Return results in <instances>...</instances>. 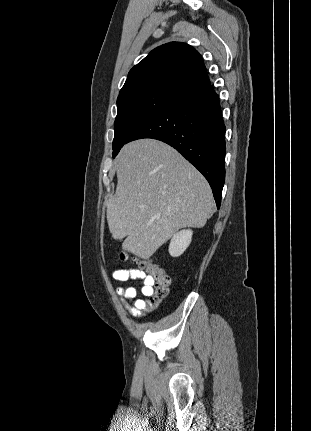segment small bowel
<instances>
[{
	"instance_id": "c3829d8e",
	"label": "small bowel",
	"mask_w": 311,
	"mask_h": 431,
	"mask_svg": "<svg viewBox=\"0 0 311 431\" xmlns=\"http://www.w3.org/2000/svg\"><path fill=\"white\" fill-rule=\"evenodd\" d=\"M112 278L117 282H126L128 280H139L143 286L141 293L144 297L151 295V279L144 271L139 269L120 268L112 273ZM116 293L119 296L120 303L128 313L136 318L144 316L145 312L150 309V303L147 299L138 298V290L133 285L118 287Z\"/></svg>"
}]
</instances>
